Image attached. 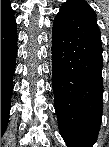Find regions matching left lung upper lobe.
Returning <instances> with one entry per match:
<instances>
[{"instance_id": "obj_1", "label": "left lung upper lobe", "mask_w": 109, "mask_h": 147, "mask_svg": "<svg viewBox=\"0 0 109 147\" xmlns=\"http://www.w3.org/2000/svg\"><path fill=\"white\" fill-rule=\"evenodd\" d=\"M67 2L76 4L80 7H82L83 9H85L86 11H88L89 13H91L92 15H94L96 17V14L93 11V9L84 0H70V1H67Z\"/></svg>"}]
</instances>
